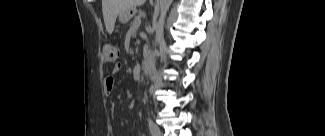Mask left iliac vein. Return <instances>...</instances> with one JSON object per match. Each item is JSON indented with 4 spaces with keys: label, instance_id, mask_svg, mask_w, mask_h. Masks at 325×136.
Instances as JSON below:
<instances>
[{
    "label": "left iliac vein",
    "instance_id": "1",
    "mask_svg": "<svg viewBox=\"0 0 325 136\" xmlns=\"http://www.w3.org/2000/svg\"><path fill=\"white\" fill-rule=\"evenodd\" d=\"M153 136H162L161 131H160L159 127L156 124H154Z\"/></svg>",
    "mask_w": 325,
    "mask_h": 136
}]
</instances>
